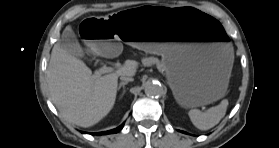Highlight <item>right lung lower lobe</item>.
Segmentation results:
<instances>
[{
    "instance_id": "98d812e1",
    "label": "right lung lower lobe",
    "mask_w": 279,
    "mask_h": 148,
    "mask_svg": "<svg viewBox=\"0 0 279 148\" xmlns=\"http://www.w3.org/2000/svg\"><path fill=\"white\" fill-rule=\"evenodd\" d=\"M123 127V124L115 129L109 130V131H104V132H98V133H94L95 135H102V134H112V133H117L119 132ZM84 133V132H83ZM93 134V133H91Z\"/></svg>"
}]
</instances>
